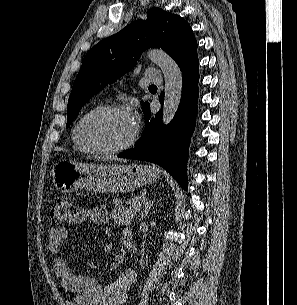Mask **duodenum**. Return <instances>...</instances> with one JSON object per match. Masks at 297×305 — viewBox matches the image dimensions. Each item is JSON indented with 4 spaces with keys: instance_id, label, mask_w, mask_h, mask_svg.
Listing matches in <instances>:
<instances>
[{
    "instance_id": "obj_1",
    "label": "duodenum",
    "mask_w": 297,
    "mask_h": 305,
    "mask_svg": "<svg viewBox=\"0 0 297 305\" xmlns=\"http://www.w3.org/2000/svg\"><path fill=\"white\" fill-rule=\"evenodd\" d=\"M124 246L127 250L131 251L133 249V236L131 232L126 231L123 234Z\"/></svg>"
}]
</instances>
